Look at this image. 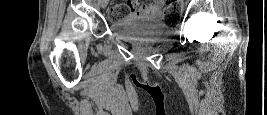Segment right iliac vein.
Instances as JSON below:
<instances>
[{
	"mask_svg": "<svg viewBox=\"0 0 267 115\" xmlns=\"http://www.w3.org/2000/svg\"><path fill=\"white\" fill-rule=\"evenodd\" d=\"M106 5H107V4H106L105 2H102V3H101V7H102V8H105Z\"/></svg>",
	"mask_w": 267,
	"mask_h": 115,
	"instance_id": "obj_1",
	"label": "right iliac vein"
}]
</instances>
